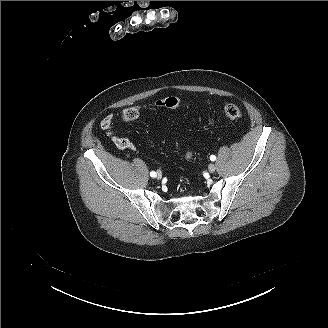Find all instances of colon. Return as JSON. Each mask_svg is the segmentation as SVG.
I'll return each mask as SVG.
<instances>
[{
	"label": "colon",
	"instance_id": "obj_1",
	"mask_svg": "<svg viewBox=\"0 0 328 328\" xmlns=\"http://www.w3.org/2000/svg\"><path fill=\"white\" fill-rule=\"evenodd\" d=\"M180 102L177 97L170 96L164 99L158 100L154 103V106H162L171 109H175L179 106ZM145 106H131L124 109L121 113V118L124 122H131L136 120ZM224 113L229 119H238L241 117L242 112L240 108L235 104H226L224 106ZM185 157L189 159L191 157L190 153H185Z\"/></svg>",
	"mask_w": 328,
	"mask_h": 328
}]
</instances>
